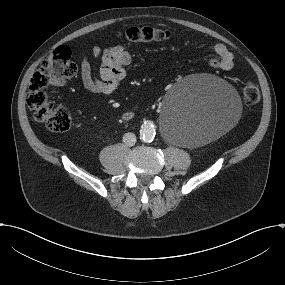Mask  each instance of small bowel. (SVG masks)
Here are the masks:
<instances>
[{"label":"small bowel","mask_w":285,"mask_h":285,"mask_svg":"<svg viewBox=\"0 0 285 285\" xmlns=\"http://www.w3.org/2000/svg\"><path fill=\"white\" fill-rule=\"evenodd\" d=\"M215 56L209 64L219 70L228 71L234 65V57L226 45H212ZM92 56L98 62L95 66L88 57H83L80 64V74L83 86L90 92L111 94L125 77L132 57L122 45H111L101 48L92 47Z\"/></svg>","instance_id":"1"}]
</instances>
